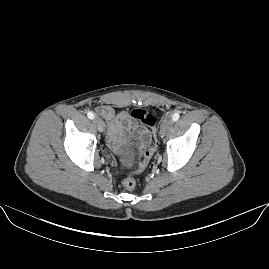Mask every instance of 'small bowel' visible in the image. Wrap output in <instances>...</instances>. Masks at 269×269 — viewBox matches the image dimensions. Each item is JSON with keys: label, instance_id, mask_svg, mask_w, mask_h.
<instances>
[{"label": "small bowel", "instance_id": "1", "mask_svg": "<svg viewBox=\"0 0 269 269\" xmlns=\"http://www.w3.org/2000/svg\"><path fill=\"white\" fill-rule=\"evenodd\" d=\"M96 111L109 123L107 145L113 152H118L123 140L128 135H134L138 141V150L144 152V145L149 131L142 125L132 121L129 114L122 110L115 113L108 105L98 106Z\"/></svg>", "mask_w": 269, "mask_h": 269}]
</instances>
